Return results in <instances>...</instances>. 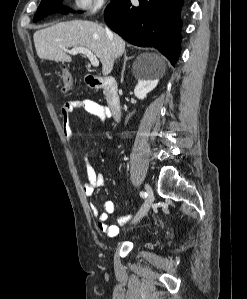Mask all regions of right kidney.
I'll list each match as a JSON object with an SVG mask.
<instances>
[{
  "instance_id": "1",
  "label": "right kidney",
  "mask_w": 247,
  "mask_h": 299,
  "mask_svg": "<svg viewBox=\"0 0 247 299\" xmlns=\"http://www.w3.org/2000/svg\"><path fill=\"white\" fill-rule=\"evenodd\" d=\"M158 84L157 79H139L134 89V94L138 99L143 100Z\"/></svg>"
}]
</instances>
